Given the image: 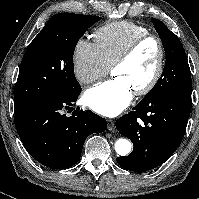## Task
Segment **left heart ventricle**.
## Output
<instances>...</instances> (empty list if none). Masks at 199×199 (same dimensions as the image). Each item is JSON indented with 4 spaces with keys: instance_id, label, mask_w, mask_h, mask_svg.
Returning <instances> with one entry per match:
<instances>
[{
    "instance_id": "left-heart-ventricle-1",
    "label": "left heart ventricle",
    "mask_w": 199,
    "mask_h": 199,
    "mask_svg": "<svg viewBox=\"0 0 199 199\" xmlns=\"http://www.w3.org/2000/svg\"><path fill=\"white\" fill-rule=\"evenodd\" d=\"M158 61V48L154 41L141 45L134 55L112 73L122 77L130 85L132 91L144 86L153 75Z\"/></svg>"
}]
</instances>
